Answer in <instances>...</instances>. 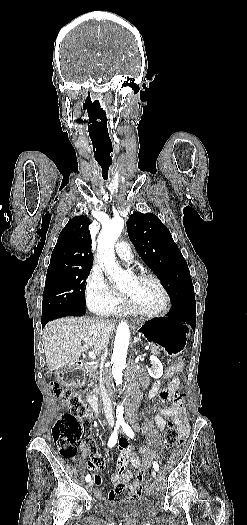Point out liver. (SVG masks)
Listing matches in <instances>:
<instances>
[{"label": "liver", "instance_id": "obj_1", "mask_svg": "<svg viewBox=\"0 0 247 525\" xmlns=\"http://www.w3.org/2000/svg\"><path fill=\"white\" fill-rule=\"evenodd\" d=\"M115 325V321L107 323L89 317H62L49 321L42 339L47 369L59 371L69 363H76L89 349L99 355L106 349Z\"/></svg>", "mask_w": 247, "mask_h": 525}]
</instances>
